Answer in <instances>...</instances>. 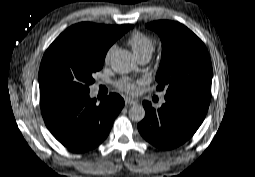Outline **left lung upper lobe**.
<instances>
[{
    "label": "left lung upper lobe",
    "instance_id": "obj_1",
    "mask_svg": "<svg viewBox=\"0 0 255 177\" xmlns=\"http://www.w3.org/2000/svg\"><path fill=\"white\" fill-rule=\"evenodd\" d=\"M146 27L156 31L162 41L157 90L166 87V96L188 92L211 94L212 64L203 42L178 22L160 20Z\"/></svg>",
    "mask_w": 255,
    "mask_h": 177
}]
</instances>
